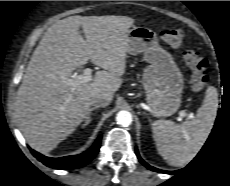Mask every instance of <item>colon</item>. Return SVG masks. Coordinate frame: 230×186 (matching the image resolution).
<instances>
[{
  "instance_id": "colon-1",
  "label": "colon",
  "mask_w": 230,
  "mask_h": 186,
  "mask_svg": "<svg viewBox=\"0 0 230 186\" xmlns=\"http://www.w3.org/2000/svg\"><path fill=\"white\" fill-rule=\"evenodd\" d=\"M161 38L173 47H182L184 43L183 32L178 29H166L162 31ZM183 58L192 73L190 81L191 88L194 95L198 97L209 78L208 61L199 52L189 48L183 51Z\"/></svg>"
}]
</instances>
